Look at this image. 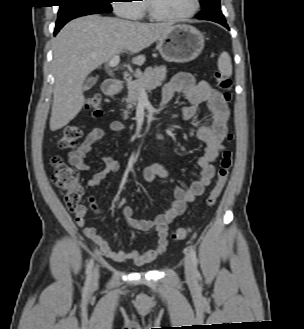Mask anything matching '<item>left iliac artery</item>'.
Returning a JSON list of instances; mask_svg holds the SVG:
<instances>
[{"mask_svg": "<svg viewBox=\"0 0 304 329\" xmlns=\"http://www.w3.org/2000/svg\"><path fill=\"white\" fill-rule=\"evenodd\" d=\"M189 254H190V258H191L192 263H193V267H194V270H195V275H196V277H198L199 276V271L197 269L198 260H197L196 251L193 247H190Z\"/></svg>", "mask_w": 304, "mask_h": 329, "instance_id": "left-iliac-artery-1", "label": "left iliac artery"}]
</instances>
